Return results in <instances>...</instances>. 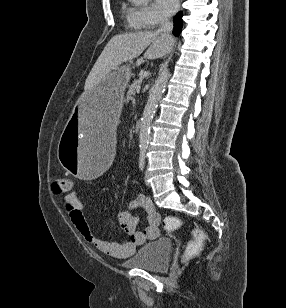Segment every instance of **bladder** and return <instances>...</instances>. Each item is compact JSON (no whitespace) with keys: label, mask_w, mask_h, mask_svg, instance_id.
<instances>
[{"label":"bladder","mask_w":286,"mask_h":308,"mask_svg":"<svg viewBox=\"0 0 286 308\" xmlns=\"http://www.w3.org/2000/svg\"><path fill=\"white\" fill-rule=\"evenodd\" d=\"M171 249V240L160 238L143 245L122 264L130 268L162 271L169 267Z\"/></svg>","instance_id":"31cf9c89"}]
</instances>
